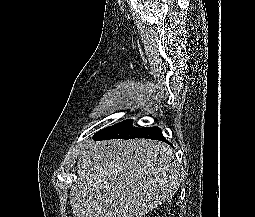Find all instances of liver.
<instances>
[{"label": "liver", "instance_id": "6515ba94", "mask_svg": "<svg viewBox=\"0 0 255 217\" xmlns=\"http://www.w3.org/2000/svg\"><path fill=\"white\" fill-rule=\"evenodd\" d=\"M70 190L74 217H142L177 192L181 178L170 146L109 140L83 146Z\"/></svg>", "mask_w": 255, "mask_h": 217}]
</instances>
